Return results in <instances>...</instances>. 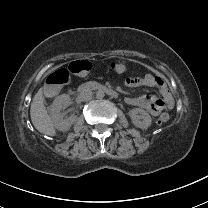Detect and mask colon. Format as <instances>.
Wrapping results in <instances>:
<instances>
[{
	"label": "colon",
	"mask_w": 208,
	"mask_h": 208,
	"mask_svg": "<svg viewBox=\"0 0 208 208\" xmlns=\"http://www.w3.org/2000/svg\"><path fill=\"white\" fill-rule=\"evenodd\" d=\"M127 69H128L127 63L122 58L115 59L110 64V70L115 74H124L127 72ZM168 121H169V115L167 113H161L155 118V123L157 125H164Z\"/></svg>",
	"instance_id": "obj_1"
}]
</instances>
